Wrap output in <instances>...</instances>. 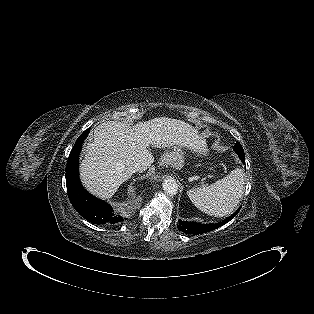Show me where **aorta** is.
<instances>
[{
	"instance_id": "762f6f07",
	"label": "aorta",
	"mask_w": 314,
	"mask_h": 314,
	"mask_svg": "<svg viewBox=\"0 0 314 314\" xmlns=\"http://www.w3.org/2000/svg\"><path fill=\"white\" fill-rule=\"evenodd\" d=\"M162 188L169 195H175L178 192V184L174 178L165 179Z\"/></svg>"
}]
</instances>
